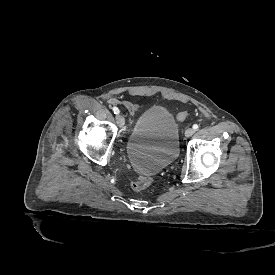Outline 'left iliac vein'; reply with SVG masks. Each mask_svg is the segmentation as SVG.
<instances>
[{"label": "left iliac vein", "mask_w": 275, "mask_h": 275, "mask_svg": "<svg viewBox=\"0 0 275 275\" xmlns=\"http://www.w3.org/2000/svg\"><path fill=\"white\" fill-rule=\"evenodd\" d=\"M194 129L193 128H188L187 130H186V132H185V136L187 137V138H189V137H191L193 134H194Z\"/></svg>", "instance_id": "1"}]
</instances>
